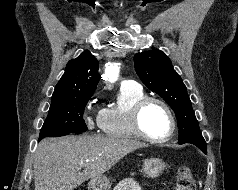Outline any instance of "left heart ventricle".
<instances>
[{"label": "left heart ventricle", "instance_id": "left-heart-ventricle-1", "mask_svg": "<svg viewBox=\"0 0 238 190\" xmlns=\"http://www.w3.org/2000/svg\"><path fill=\"white\" fill-rule=\"evenodd\" d=\"M141 122L147 134L153 137L165 136L170 130V119L158 104L148 105L142 113Z\"/></svg>", "mask_w": 238, "mask_h": 190}]
</instances>
